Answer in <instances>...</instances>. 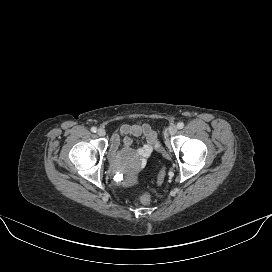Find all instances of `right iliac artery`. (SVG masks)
<instances>
[{
  "mask_svg": "<svg viewBox=\"0 0 272 272\" xmlns=\"http://www.w3.org/2000/svg\"><path fill=\"white\" fill-rule=\"evenodd\" d=\"M91 131L95 133L97 131V128L96 127H92Z\"/></svg>",
  "mask_w": 272,
  "mask_h": 272,
  "instance_id": "1",
  "label": "right iliac artery"
}]
</instances>
